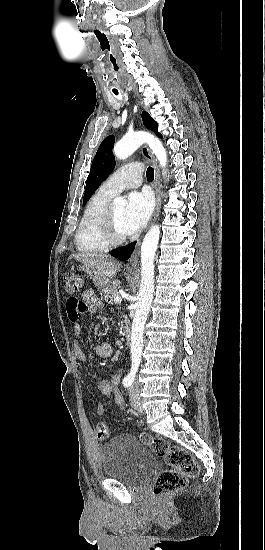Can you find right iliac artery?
Here are the masks:
<instances>
[{"instance_id":"1","label":"right iliac artery","mask_w":265,"mask_h":550,"mask_svg":"<svg viewBox=\"0 0 265 550\" xmlns=\"http://www.w3.org/2000/svg\"><path fill=\"white\" fill-rule=\"evenodd\" d=\"M131 383H132V380L130 378H124L123 379V385L125 387H129L131 385Z\"/></svg>"}]
</instances>
